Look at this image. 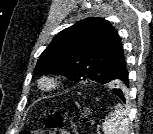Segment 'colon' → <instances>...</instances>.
I'll list each match as a JSON object with an SVG mask.
<instances>
[{
    "label": "colon",
    "instance_id": "5ec220e1",
    "mask_svg": "<svg viewBox=\"0 0 153 134\" xmlns=\"http://www.w3.org/2000/svg\"><path fill=\"white\" fill-rule=\"evenodd\" d=\"M48 134H78L73 123L68 121L62 112L49 115L45 120ZM22 134H44L41 131H24Z\"/></svg>",
    "mask_w": 153,
    "mask_h": 134
}]
</instances>
